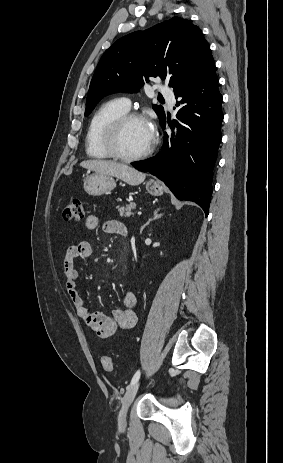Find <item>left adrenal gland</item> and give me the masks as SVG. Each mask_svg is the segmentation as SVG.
<instances>
[{"label": "left adrenal gland", "mask_w": 283, "mask_h": 463, "mask_svg": "<svg viewBox=\"0 0 283 463\" xmlns=\"http://www.w3.org/2000/svg\"><path fill=\"white\" fill-rule=\"evenodd\" d=\"M161 208H157L154 210L153 212V218H150L142 227H141V230H143L146 226H148L150 224L151 221L153 220H157L159 218H161L163 216V213H159Z\"/></svg>", "instance_id": "a2214340"}]
</instances>
